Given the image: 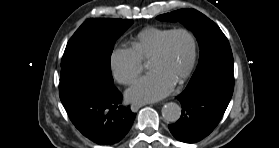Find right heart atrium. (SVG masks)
<instances>
[{
  "label": "right heart atrium",
  "mask_w": 279,
  "mask_h": 148,
  "mask_svg": "<svg viewBox=\"0 0 279 148\" xmlns=\"http://www.w3.org/2000/svg\"><path fill=\"white\" fill-rule=\"evenodd\" d=\"M114 79L124 85L132 84L143 70V60L133 47L116 48L110 57Z\"/></svg>",
  "instance_id": "obj_1"
}]
</instances>
